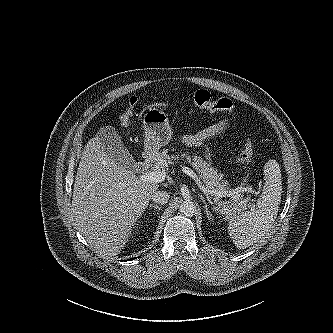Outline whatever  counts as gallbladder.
<instances>
[{
    "mask_svg": "<svg viewBox=\"0 0 333 333\" xmlns=\"http://www.w3.org/2000/svg\"><path fill=\"white\" fill-rule=\"evenodd\" d=\"M97 136L101 140V145L105 153L113 161L129 171H136L137 163L123 144L115 128L112 126L103 127L98 131Z\"/></svg>",
    "mask_w": 333,
    "mask_h": 333,
    "instance_id": "gallbladder-1",
    "label": "gallbladder"
}]
</instances>
